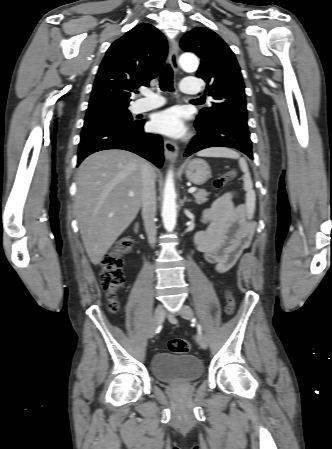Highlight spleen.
<instances>
[{
    "label": "spleen",
    "mask_w": 332,
    "mask_h": 449,
    "mask_svg": "<svg viewBox=\"0 0 332 449\" xmlns=\"http://www.w3.org/2000/svg\"><path fill=\"white\" fill-rule=\"evenodd\" d=\"M198 156L203 157H224V158H232L239 159V166L244 173L243 182H244V190L246 191V208L249 218L252 217L255 211V203H256V195L253 190V183L251 180V176L249 173L248 165L244 158H241L239 153L227 148H210L200 151Z\"/></svg>",
    "instance_id": "obj_1"
}]
</instances>
